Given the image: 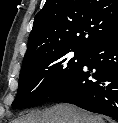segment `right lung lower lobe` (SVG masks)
<instances>
[{
    "instance_id": "1",
    "label": "right lung lower lobe",
    "mask_w": 118,
    "mask_h": 123,
    "mask_svg": "<svg viewBox=\"0 0 118 123\" xmlns=\"http://www.w3.org/2000/svg\"><path fill=\"white\" fill-rule=\"evenodd\" d=\"M48 98L118 120V36L88 50L77 73Z\"/></svg>"
}]
</instances>
